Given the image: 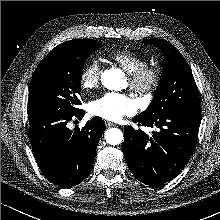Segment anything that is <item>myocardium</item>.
I'll list each match as a JSON object with an SVG mask.
<instances>
[{
    "label": "myocardium",
    "mask_w": 220,
    "mask_h": 220,
    "mask_svg": "<svg viewBox=\"0 0 220 220\" xmlns=\"http://www.w3.org/2000/svg\"><path fill=\"white\" fill-rule=\"evenodd\" d=\"M161 69L155 64H146L129 75L130 87L138 94H152L161 82Z\"/></svg>",
    "instance_id": "f54148a6"
}]
</instances>
